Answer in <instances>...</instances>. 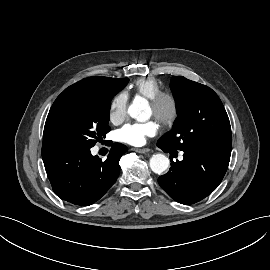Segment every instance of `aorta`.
Masks as SVG:
<instances>
[{"mask_svg":"<svg viewBox=\"0 0 270 270\" xmlns=\"http://www.w3.org/2000/svg\"><path fill=\"white\" fill-rule=\"evenodd\" d=\"M129 115L140 121L148 120V103L144 98H135L133 103L128 108ZM169 159L163 154H154L150 158V168L156 174H162L169 167Z\"/></svg>","mask_w":270,"mask_h":270,"instance_id":"1","label":"aorta"}]
</instances>
